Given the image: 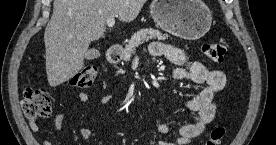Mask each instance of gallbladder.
<instances>
[{"label": "gallbladder", "mask_w": 276, "mask_h": 145, "mask_svg": "<svg viewBox=\"0 0 276 145\" xmlns=\"http://www.w3.org/2000/svg\"><path fill=\"white\" fill-rule=\"evenodd\" d=\"M99 56V51L97 49H89L86 54H85V58L87 60H92V59H95Z\"/></svg>", "instance_id": "1"}]
</instances>
